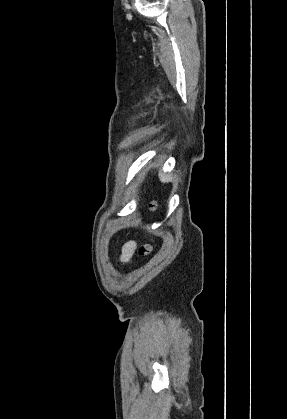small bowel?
Returning <instances> with one entry per match:
<instances>
[{
	"label": "small bowel",
	"mask_w": 287,
	"mask_h": 419,
	"mask_svg": "<svg viewBox=\"0 0 287 419\" xmlns=\"http://www.w3.org/2000/svg\"><path fill=\"white\" fill-rule=\"evenodd\" d=\"M134 248H135L134 242H129L123 247L122 255H121L122 262H128L130 260L132 253L134 251Z\"/></svg>",
	"instance_id": "obj_1"
}]
</instances>
